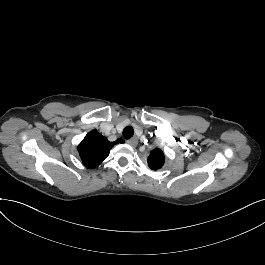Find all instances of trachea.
Returning a JSON list of instances; mask_svg holds the SVG:
<instances>
[{
    "instance_id": "1",
    "label": "trachea",
    "mask_w": 265,
    "mask_h": 265,
    "mask_svg": "<svg viewBox=\"0 0 265 265\" xmlns=\"http://www.w3.org/2000/svg\"><path fill=\"white\" fill-rule=\"evenodd\" d=\"M134 134V130L131 126H127L123 130V136L125 139H130Z\"/></svg>"
}]
</instances>
